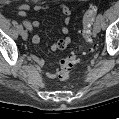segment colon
Wrapping results in <instances>:
<instances>
[{
    "instance_id": "colon-1",
    "label": "colon",
    "mask_w": 119,
    "mask_h": 119,
    "mask_svg": "<svg viewBox=\"0 0 119 119\" xmlns=\"http://www.w3.org/2000/svg\"><path fill=\"white\" fill-rule=\"evenodd\" d=\"M97 11L98 9L95 5H90L83 15L81 34L88 45H90L92 41L91 25L97 14ZM78 62L79 55L76 52H72L67 57L61 59L59 62L58 78L60 80L69 79L71 77V69Z\"/></svg>"
}]
</instances>
